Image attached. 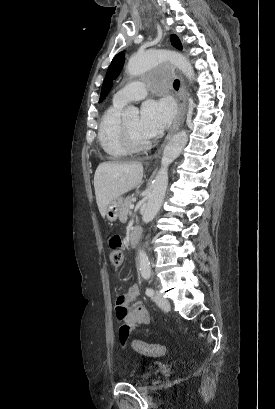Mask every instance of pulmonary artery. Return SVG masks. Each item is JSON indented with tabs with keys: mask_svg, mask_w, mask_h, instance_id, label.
I'll use <instances>...</instances> for the list:
<instances>
[{
	"mask_svg": "<svg viewBox=\"0 0 275 409\" xmlns=\"http://www.w3.org/2000/svg\"><path fill=\"white\" fill-rule=\"evenodd\" d=\"M132 87L129 89L127 85H120L118 92L115 94L113 101L119 106H125L129 101L141 100L146 95V87L139 85L137 80L132 82Z\"/></svg>",
	"mask_w": 275,
	"mask_h": 409,
	"instance_id": "obj_1",
	"label": "pulmonary artery"
}]
</instances>
